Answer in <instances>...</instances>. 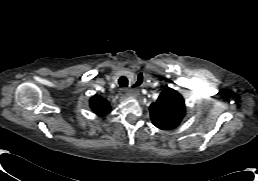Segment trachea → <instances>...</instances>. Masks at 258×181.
Segmentation results:
<instances>
[{
	"instance_id": "1",
	"label": "trachea",
	"mask_w": 258,
	"mask_h": 181,
	"mask_svg": "<svg viewBox=\"0 0 258 181\" xmlns=\"http://www.w3.org/2000/svg\"><path fill=\"white\" fill-rule=\"evenodd\" d=\"M118 82H119V85L121 87H127L128 86V80L125 76L120 77Z\"/></svg>"
}]
</instances>
